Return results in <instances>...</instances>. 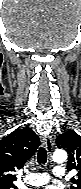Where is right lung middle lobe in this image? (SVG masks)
Returning a JSON list of instances; mask_svg holds the SVG:
<instances>
[{
	"mask_svg": "<svg viewBox=\"0 0 81 189\" xmlns=\"http://www.w3.org/2000/svg\"><path fill=\"white\" fill-rule=\"evenodd\" d=\"M0 189H17V187L14 184H11V185L0 186Z\"/></svg>",
	"mask_w": 81,
	"mask_h": 189,
	"instance_id": "1",
	"label": "right lung middle lobe"
}]
</instances>
